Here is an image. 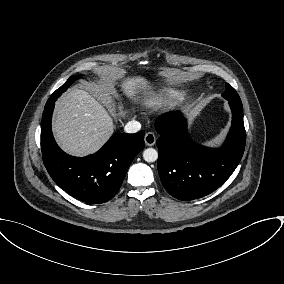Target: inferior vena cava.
Segmentation results:
<instances>
[{"instance_id":"inferior-vena-cava-1","label":"inferior vena cava","mask_w":284,"mask_h":284,"mask_svg":"<svg viewBox=\"0 0 284 284\" xmlns=\"http://www.w3.org/2000/svg\"><path fill=\"white\" fill-rule=\"evenodd\" d=\"M140 129H141V124L135 120L129 121L124 127L126 133H136Z\"/></svg>"}]
</instances>
